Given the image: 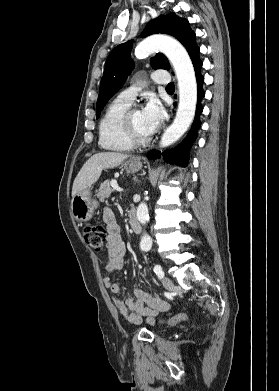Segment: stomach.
I'll use <instances>...</instances> for the list:
<instances>
[{
    "instance_id": "stomach-1",
    "label": "stomach",
    "mask_w": 279,
    "mask_h": 391,
    "mask_svg": "<svg viewBox=\"0 0 279 391\" xmlns=\"http://www.w3.org/2000/svg\"><path fill=\"white\" fill-rule=\"evenodd\" d=\"M128 173L138 172L142 163L139 158L133 157L123 165ZM98 201L92 196L90 188H86L75 195L71 201V211L73 217L79 222L89 221L98 208Z\"/></svg>"
}]
</instances>
